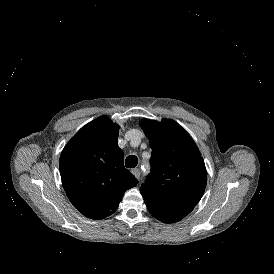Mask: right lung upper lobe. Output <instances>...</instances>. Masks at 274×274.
Instances as JSON below:
<instances>
[{"instance_id": "1", "label": "right lung upper lobe", "mask_w": 274, "mask_h": 274, "mask_svg": "<svg viewBox=\"0 0 274 274\" xmlns=\"http://www.w3.org/2000/svg\"><path fill=\"white\" fill-rule=\"evenodd\" d=\"M119 126L101 116L82 127L59 160L64 190L71 203L91 219L114 213L137 179L124 167L118 147Z\"/></svg>"}]
</instances>
